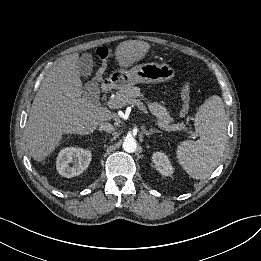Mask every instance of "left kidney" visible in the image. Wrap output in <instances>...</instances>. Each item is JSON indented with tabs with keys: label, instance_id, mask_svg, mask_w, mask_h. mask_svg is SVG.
Segmentation results:
<instances>
[{
	"label": "left kidney",
	"instance_id": "left-kidney-1",
	"mask_svg": "<svg viewBox=\"0 0 261 261\" xmlns=\"http://www.w3.org/2000/svg\"><path fill=\"white\" fill-rule=\"evenodd\" d=\"M156 169L164 176L173 174V167L168 156L163 152H155L152 156Z\"/></svg>",
	"mask_w": 261,
	"mask_h": 261
}]
</instances>
